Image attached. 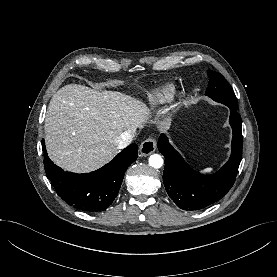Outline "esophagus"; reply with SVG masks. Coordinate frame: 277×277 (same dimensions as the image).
I'll use <instances>...</instances> for the list:
<instances>
[{
    "label": "esophagus",
    "mask_w": 277,
    "mask_h": 277,
    "mask_svg": "<svg viewBox=\"0 0 277 277\" xmlns=\"http://www.w3.org/2000/svg\"><path fill=\"white\" fill-rule=\"evenodd\" d=\"M156 140L154 138H148L140 145L139 152L141 156H148L156 150Z\"/></svg>",
    "instance_id": "34e87169"
}]
</instances>
